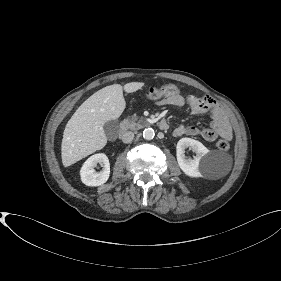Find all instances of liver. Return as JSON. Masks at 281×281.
<instances>
[{"mask_svg":"<svg viewBox=\"0 0 281 281\" xmlns=\"http://www.w3.org/2000/svg\"><path fill=\"white\" fill-rule=\"evenodd\" d=\"M144 86L143 82H130L106 86L85 100L66 124L61 144L64 167L102 149L107 143L103 126L118 119L123 113L126 93H133Z\"/></svg>","mask_w":281,"mask_h":281,"instance_id":"1","label":"liver"}]
</instances>
